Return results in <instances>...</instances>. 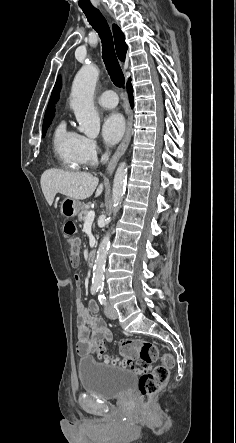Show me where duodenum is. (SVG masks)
<instances>
[{
  "label": "duodenum",
  "mask_w": 236,
  "mask_h": 443,
  "mask_svg": "<svg viewBox=\"0 0 236 443\" xmlns=\"http://www.w3.org/2000/svg\"><path fill=\"white\" fill-rule=\"evenodd\" d=\"M95 258H96V256H95L94 253H90V254L88 255V265H89L90 267H92V266L94 265V263H95Z\"/></svg>",
  "instance_id": "obj_1"
}]
</instances>
